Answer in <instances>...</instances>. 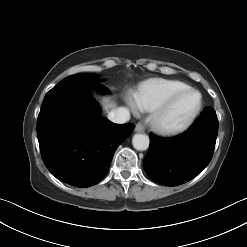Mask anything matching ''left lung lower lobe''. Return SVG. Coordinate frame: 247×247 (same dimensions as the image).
I'll return each instance as SVG.
<instances>
[{
  "mask_svg": "<svg viewBox=\"0 0 247 247\" xmlns=\"http://www.w3.org/2000/svg\"><path fill=\"white\" fill-rule=\"evenodd\" d=\"M218 133V119L211 107L183 134L159 138L150 134L143 166L154 181L177 186L196 177L210 162Z\"/></svg>",
  "mask_w": 247,
  "mask_h": 247,
  "instance_id": "1",
  "label": "left lung lower lobe"
}]
</instances>
